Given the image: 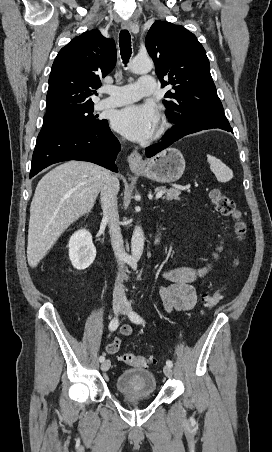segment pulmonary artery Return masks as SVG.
Segmentation results:
<instances>
[{
    "instance_id": "1",
    "label": "pulmonary artery",
    "mask_w": 272,
    "mask_h": 452,
    "mask_svg": "<svg viewBox=\"0 0 272 452\" xmlns=\"http://www.w3.org/2000/svg\"><path fill=\"white\" fill-rule=\"evenodd\" d=\"M108 95L101 100L98 108L119 107L144 97L153 95L156 91V81L153 77H142L136 83L123 86H110L102 89Z\"/></svg>"
}]
</instances>
